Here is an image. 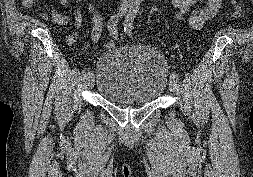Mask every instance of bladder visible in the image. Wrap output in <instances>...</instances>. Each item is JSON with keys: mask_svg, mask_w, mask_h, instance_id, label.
<instances>
[{"mask_svg": "<svg viewBox=\"0 0 253 177\" xmlns=\"http://www.w3.org/2000/svg\"><path fill=\"white\" fill-rule=\"evenodd\" d=\"M96 91L111 103L151 104L166 82L164 57L148 47L112 48L98 61Z\"/></svg>", "mask_w": 253, "mask_h": 177, "instance_id": "obj_1", "label": "bladder"}]
</instances>
